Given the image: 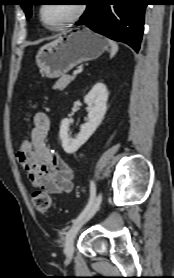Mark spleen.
Listing matches in <instances>:
<instances>
[{"mask_svg": "<svg viewBox=\"0 0 174 278\" xmlns=\"http://www.w3.org/2000/svg\"><path fill=\"white\" fill-rule=\"evenodd\" d=\"M107 41H108V43H109V45L111 47L110 57L112 58L117 53L119 48H118V45H117V43L115 41L110 40V39H108Z\"/></svg>", "mask_w": 174, "mask_h": 278, "instance_id": "3e777b00", "label": "spleen"}]
</instances>
